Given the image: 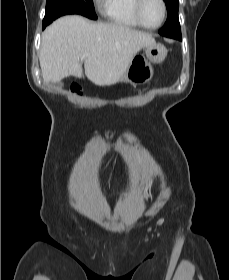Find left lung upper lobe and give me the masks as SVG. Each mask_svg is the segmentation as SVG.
<instances>
[{"label": "left lung upper lobe", "mask_w": 229, "mask_h": 280, "mask_svg": "<svg viewBox=\"0 0 229 280\" xmlns=\"http://www.w3.org/2000/svg\"><path fill=\"white\" fill-rule=\"evenodd\" d=\"M168 18L164 26L159 30V33L166 37L178 38L181 36V29L178 19L179 0H164Z\"/></svg>", "instance_id": "obj_1"}]
</instances>
